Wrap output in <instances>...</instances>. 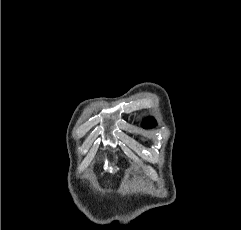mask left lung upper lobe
<instances>
[{"label":"left lung upper lobe","instance_id":"left-lung-upper-lobe-1","mask_svg":"<svg viewBox=\"0 0 241 230\" xmlns=\"http://www.w3.org/2000/svg\"><path fill=\"white\" fill-rule=\"evenodd\" d=\"M155 125H156V121L152 117H148L142 122V126L144 128H151V127H154Z\"/></svg>","mask_w":241,"mask_h":230}]
</instances>
